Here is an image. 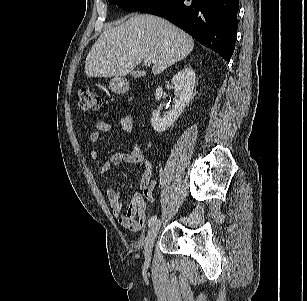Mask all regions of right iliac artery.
I'll list each match as a JSON object with an SVG mask.
<instances>
[{"label":"right iliac artery","instance_id":"1","mask_svg":"<svg viewBox=\"0 0 307 301\" xmlns=\"http://www.w3.org/2000/svg\"><path fill=\"white\" fill-rule=\"evenodd\" d=\"M156 220H157V216L156 215L151 216L149 218V220H148V226L149 227L152 226L156 222Z\"/></svg>","mask_w":307,"mask_h":301}]
</instances>
